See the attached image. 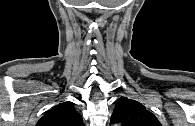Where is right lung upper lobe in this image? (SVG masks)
I'll use <instances>...</instances> for the list:
<instances>
[{
    "label": "right lung upper lobe",
    "mask_w": 195,
    "mask_h": 126,
    "mask_svg": "<svg viewBox=\"0 0 195 126\" xmlns=\"http://www.w3.org/2000/svg\"><path fill=\"white\" fill-rule=\"evenodd\" d=\"M36 126H84L82 117L76 112L72 102H64L53 107Z\"/></svg>",
    "instance_id": "right-lung-upper-lobe-1"
}]
</instances>
